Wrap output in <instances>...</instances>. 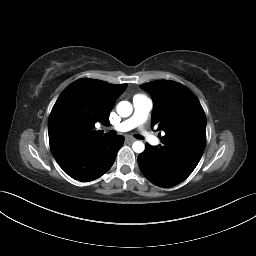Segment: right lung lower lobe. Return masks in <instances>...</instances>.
Masks as SVG:
<instances>
[{
	"mask_svg": "<svg viewBox=\"0 0 256 256\" xmlns=\"http://www.w3.org/2000/svg\"><path fill=\"white\" fill-rule=\"evenodd\" d=\"M123 142L122 135L106 136L68 149L54 157L69 176L81 182H88L101 177L111 168Z\"/></svg>",
	"mask_w": 256,
	"mask_h": 256,
	"instance_id": "1",
	"label": "right lung lower lobe"
}]
</instances>
